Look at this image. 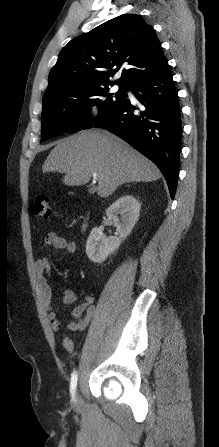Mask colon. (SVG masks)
<instances>
[{
    "instance_id": "1",
    "label": "colon",
    "mask_w": 219,
    "mask_h": 447,
    "mask_svg": "<svg viewBox=\"0 0 219 447\" xmlns=\"http://www.w3.org/2000/svg\"><path fill=\"white\" fill-rule=\"evenodd\" d=\"M33 216L48 218L51 215L50 201L47 196H37L30 206Z\"/></svg>"
}]
</instances>
